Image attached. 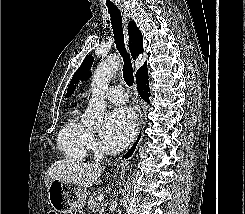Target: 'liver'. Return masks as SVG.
I'll use <instances>...</instances> for the list:
<instances>
[{"mask_svg":"<svg viewBox=\"0 0 245 214\" xmlns=\"http://www.w3.org/2000/svg\"><path fill=\"white\" fill-rule=\"evenodd\" d=\"M102 166L96 164H84L71 159L55 161L45 173V185L48 188L53 179L68 182L77 187L87 188L92 186L102 173ZM100 180L98 183L100 184Z\"/></svg>","mask_w":245,"mask_h":214,"instance_id":"liver-1","label":"liver"}]
</instances>
